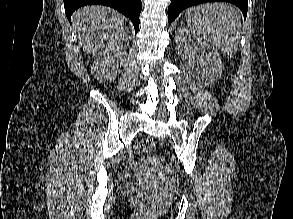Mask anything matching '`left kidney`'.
<instances>
[{"mask_svg":"<svg viewBox=\"0 0 293 219\" xmlns=\"http://www.w3.org/2000/svg\"><path fill=\"white\" fill-rule=\"evenodd\" d=\"M176 43L178 53L186 65L190 68L197 66L195 76L202 84L210 85L221 76V57L209 43L195 37L187 29L181 27L176 31Z\"/></svg>","mask_w":293,"mask_h":219,"instance_id":"left-kidney-1","label":"left kidney"}]
</instances>
